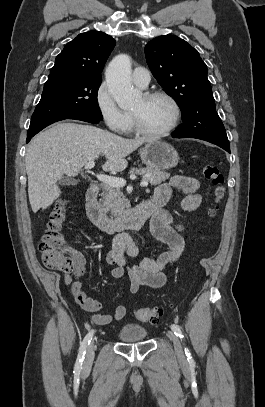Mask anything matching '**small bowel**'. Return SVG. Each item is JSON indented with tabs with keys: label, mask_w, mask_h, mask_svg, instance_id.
<instances>
[{
	"label": "small bowel",
	"mask_w": 265,
	"mask_h": 407,
	"mask_svg": "<svg viewBox=\"0 0 265 407\" xmlns=\"http://www.w3.org/2000/svg\"><path fill=\"white\" fill-rule=\"evenodd\" d=\"M199 187L200 183L195 178L174 175L169 183L157 186L154 198L167 202L171 195V189L175 188L186 194L183 201L184 210L193 211L201 204L202 198L198 193ZM150 228L153 236L168 247L156 258H141L137 265L129 267L124 254L137 257L138 250L128 236L118 237L106 255L111 276L117 279L127 277L130 281V293H136L142 286L162 287L166 282V269L180 259L185 248L182 225L177 223L163 207L152 215ZM74 257L73 270L71 273L65 274L64 282L77 304L90 315L91 323L102 326L123 319L127 312L123 305H118L113 313H100V302L88 297L82 290L80 278L85 273L86 260L77 252L74 253Z\"/></svg>",
	"instance_id": "1"
}]
</instances>
